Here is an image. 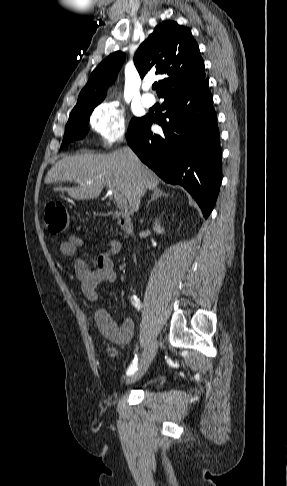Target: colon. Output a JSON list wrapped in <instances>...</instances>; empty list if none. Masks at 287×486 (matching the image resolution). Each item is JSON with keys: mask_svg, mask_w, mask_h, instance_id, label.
<instances>
[{"mask_svg": "<svg viewBox=\"0 0 287 486\" xmlns=\"http://www.w3.org/2000/svg\"><path fill=\"white\" fill-rule=\"evenodd\" d=\"M44 220L46 227L51 233L57 234L63 232L69 223V217L65 206L56 200L49 201L45 205ZM109 354L115 356L114 349H109Z\"/></svg>", "mask_w": 287, "mask_h": 486, "instance_id": "colon-1", "label": "colon"}]
</instances>
